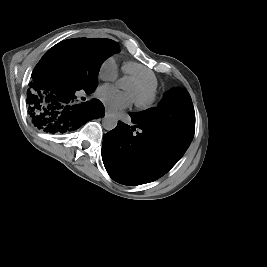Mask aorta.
Instances as JSON below:
<instances>
[{
	"mask_svg": "<svg viewBox=\"0 0 267 267\" xmlns=\"http://www.w3.org/2000/svg\"><path fill=\"white\" fill-rule=\"evenodd\" d=\"M124 80L125 78H121L118 82V86L120 88H124ZM117 117L113 114H107L102 119V125L104 129L110 131L113 130L117 126Z\"/></svg>",
	"mask_w": 267,
	"mask_h": 267,
	"instance_id": "762f6f07",
	"label": "aorta"
}]
</instances>
